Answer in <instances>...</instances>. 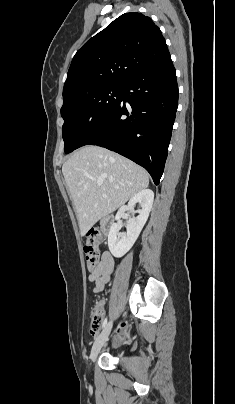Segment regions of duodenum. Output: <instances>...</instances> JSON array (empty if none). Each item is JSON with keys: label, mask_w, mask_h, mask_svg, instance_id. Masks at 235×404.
<instances>
[{"label": "duodenum", "mask_w": 235, "mask_h": 404, "mask_svg": "<svg viewBox=\"0 0 235 404\" xmlns=\"http://www.w3.org/2000/svg\"><path fill=\"white\" fill-rule=\"evenodd\" d=\"M113 222L114 221H113V219L111 217H109V216L104 217L101 220V228H102V230L105 233H108L111 230L112 226H113Z\"/></svg>", "instance_id": "410a0bca"}]
</instances>
